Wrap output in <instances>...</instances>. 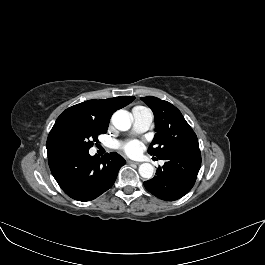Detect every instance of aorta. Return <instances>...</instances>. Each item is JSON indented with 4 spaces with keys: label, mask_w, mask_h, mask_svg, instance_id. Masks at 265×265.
Returning a JSON list of instances; mask_svg holds the SVG:
<instances>
[{
    "label": "aorta",
    "mask_w": 265,
    "mask_h": 265,
    "mask_svg": "<svg viewBox=\"0 0 265 265\" xmlns=\"http://www.w3.org/2000/svg\"><path fill=\"white\" fill-rule=\"evenodd\" d=\"M114 127L120 131H127L132 124V118L125 111H117L111 118ZM139 174L141 177L150 179L154 173V167L149 163H143L139 166Z\"/></svg>",
    "instance_id": "aorta-1"
}]
</instances>
